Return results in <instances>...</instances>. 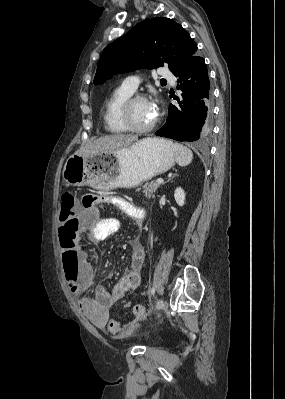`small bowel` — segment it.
Listing matches in <instances>:
<instances>
[{
	"mask_svg": "<svg viewBox=\"0 0 285 399\" xmlns=\"http://www.w3.org/2000/svg\"><path fill=\"white\" fill-rule=\"evenodd\" d=\"M103 204L114 205L122 209L124 213L138 225L142 224L145 220L146 211L144 208L127 198L105 195L98 196L96 205ZM96 205L86 206L82 204V208L91 211ZM59 212L61 213L60 210ZM67 222L74 224L76 229L73 231L63 227L59 228V245L62 251L69 250L76 246L80 234H86L94 242H99L119 232L122 226L120 220L107 217H101L93 224L88 225L86 221L80 217L78 209L72 211L68 216ZM130 246L132 250L130 269L120 277L110 291L103 285H97L94 297H88L86 295V292L95 281L93 268L90 262V254L86 250L81 251L80 286L78 288V293H74L78 300L79 310L97 328L105 329L113 335L121 334L124 328L114 323L113 320L109 318L108 310L129 291L135 289L140 284L142 268L146 258L144 247L138 238H132L130 240Z\"/></svg>",
	"mask_w": 285,
	"mask_h": 399,
	"instance_id": "1",
	"label": "small bowel"
}]
</instances>
